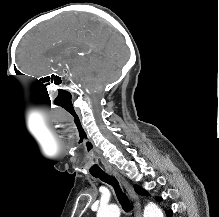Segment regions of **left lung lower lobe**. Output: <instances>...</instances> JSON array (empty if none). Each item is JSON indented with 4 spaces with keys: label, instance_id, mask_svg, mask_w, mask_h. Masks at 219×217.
<instances>
[{
    "label": "left lung lower lobe",
    "instance_id": "obj_1",
    "mask_svg": "<svg viewBox=\"0 0 219 217\" xmlns=\"http://www.w3.org/2000/svg\"><path fill=\"white\" fill-rule=\"evenodd\" d=\"M167 217H171L172 210H165Z\"/></svg>",
    "mask_w": 219,
    "mask_h": 217
}]
</instances>
